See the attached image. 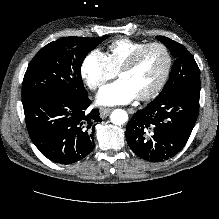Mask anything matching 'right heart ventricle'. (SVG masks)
<instances>
[{
  "label": "right heart ventricle",
  "mask_w": 219,
  "mask_h": 219,
  "mask_svg": "<svg viewBox=\"0 0 219 219\" xmlns=\"http://www.w3.org/2000/svg\"><path fill=\"white\" fill-rule=\"evenodd\" d=\"M145 44L143 41H135L129 38L114 40L108 45L106 53L110 66L114 71H117L134 52Z\"/></svg>",
  "instance_id": "right-heart-ventricle-1"
}]
</instances>
